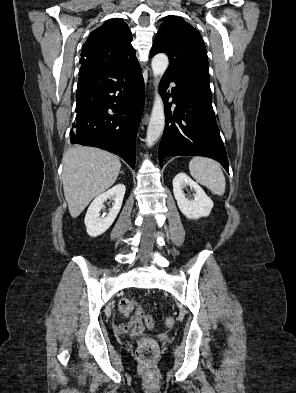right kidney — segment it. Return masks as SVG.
<instances>
[{"label":"right kidney","instance_id":"1","mask_svg":"<svg viewBox=\"0 0 296 393\" xmlns=\"http://www.w3.org/2000/svg\"><path fill=\"white\" fill-rule=\"evenodd\" d=\"M125 191L126 187L123 184H118L93 200L84 220L89 236L97 237L109 229L121 209ZM107 199L114 200V203L107 216L101 218L100 211L103 209V203Z\"/></svg>","mask_w":296,"mask_h":393}]
</instances>
